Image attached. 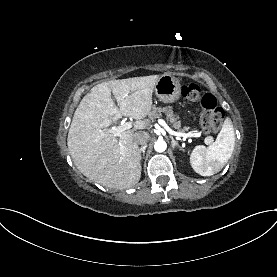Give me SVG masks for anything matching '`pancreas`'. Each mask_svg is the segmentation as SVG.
I'll list each match as a JSON object with an SVG mask.
<instances>
[{
  "instance_id": "cf45deb5",
  "label": "pancreas",
  "mask_w": 277,
  "mask_h": 277,
  "mask_svg": "<svg viewBox=\"0 0 277 277\" xmlns=\"http://www.w3.org/2000/svg\"><path fill=\"white\" fill-rule=\"evenodd\" d=\"M165 114L167 121H169L175 130L179 132L188 131V127L181 128V121L178 120V116L174 114L172 108L168 107H153V110L150 112L149 117L151 120L159 118Z\"/></svg>"
}]
</instances>
